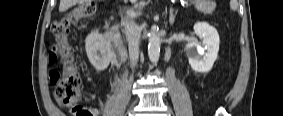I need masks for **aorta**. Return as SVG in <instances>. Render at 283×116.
I'll list each match as a JSON object with an SVG mask.
<instances>
[{"label":"aorta","mask_w":283,"mask_h":116,"mask_svg":"<svg viewBox=\"0 0 283 116\" xmlns=\"http://www.w3.org/2000/svg\"><path fill=\"white\" fill-rule=\"evenodd\" d=\"M161 39L157 35L155 28L149 33L148 56L152 63H157L160 56Z\"/></svg>","instance_id":"762f6f07"}]
</instances>
